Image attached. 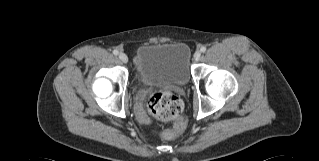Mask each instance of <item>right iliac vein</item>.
<instances>
[{"label": "right iliac vein", "instance_id": "obj_1", "mask_svg": "<svg viewBox=\"0 0 319 161\" xmlns=\"http://www.w3.org/2000/svg\"><path fill=\"white\" fill-rule=\"evenodd\" d=\"M118 57H119L121 62H123V63H127L128 62V57H127V55L125 53H120L118 55Z\"/></svg>", "mask_w": 319, "mask_h": 161}]
</instances>
